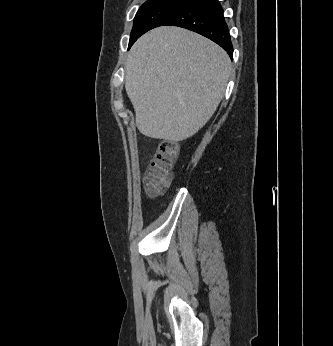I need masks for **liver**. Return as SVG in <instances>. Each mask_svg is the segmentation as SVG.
Returning a JSON list of instances; mask_svg holds the SVG:
<instances>
[{"instance_id": "obj_1", "label": "liver", "mask_w": 333, "mask_h": 346, "mask_svg": "<svg viewBox=\"0 0 333 346\" xmlns=\"http://www.w3.org/2000/svg\"><path fill=\"white\" fill-rule=\"evenodd\" d=\"M232 70L211 40L179 27L141 36L125 62V89L145 136L183 141L212 117Z\"/></svg>"}]
</instances>
